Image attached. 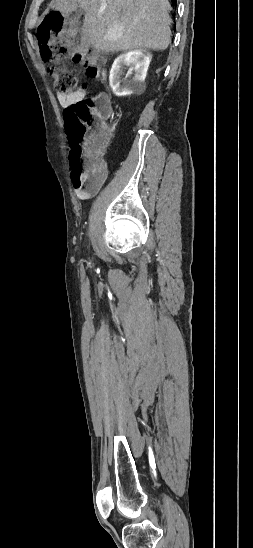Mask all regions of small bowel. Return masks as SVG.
Masks as SVG:
<instances>
[{"label":"small bowel","mask_w":253,"mask_h":548,"mask_svg":"<svg viewBox=\"0 0 253 548\" xmlns=\"http://www.w3.org/2000/svg\"><path fill=\"white\" fill-rule=\"evenodd\" d=\"M84 97H85V93L81 90L76 91V92L71 93V94H64V93H59L58 94V100H59L60 104L62 106H65V107H68V106L82 100ZM106 178H107V170L105 168L104 171H103V174L97 180H95L91 183H86V184H82V185H79V186L74 185V192H75L76 196L81 200H86V199L91 198L92 196H94L100 190V188L102 187V185L106 181Z\"/></svg>","instance_id":"1"}]
</instances>
